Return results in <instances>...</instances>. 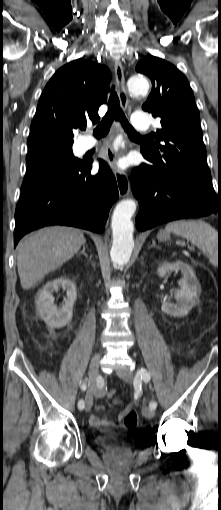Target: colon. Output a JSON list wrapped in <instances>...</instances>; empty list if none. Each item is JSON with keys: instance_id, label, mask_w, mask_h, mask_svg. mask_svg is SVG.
Here are the masks:
<instances>
[{"instance_id": "colon-1", "label": "colon", "mask_w": 221, "mask_h": 510, "mask_svg": "<svg viewBox=\"0 0 221 510\" xmlns=\"http://www.w3.org/2000/svg\"><path fill=\"white\" fill-rule=\"evenodd\" d=\"M116 394L115 389H110L108 392V396L113 398ZM115 404H119V400H114ZM138 422V415L134 410H131L127 413L124 423L127 427H134Z\"/></svg>"}]
</instances>
